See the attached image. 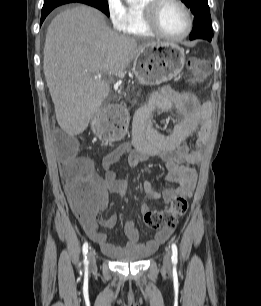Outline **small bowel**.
Masks as SVG:
<instances>
[{"instance_id": "c3829d8e", "label": "small bowel", "mask_w": 261, "mask_h": 306, "mask_svg": "<svg viewBox=\"0 0 261 306\" xmlns=\"http://www.w3.org/2000/svg\"><path fill=\"white\" fill-rule=\"evenodd\" d=\"M173 107L182 113L183 119L169 133L158 131L153 124L156 114L169 111ZM210 114L209 103H200L190 92H179L164 86L152 94L149 102L136 112L131 141L120 144L102 159L103 176L94 170L90 159L77 158L87 162L92 168L91 188L94 193L88 206L78 214V220L87 236L100 246L104 254L113 258L124 253L150 254L167 241L173 232L172 228H164L143 244L140 242L138 229L132 222H126L123 226L126 243L117 246L109 241L100 227L113 228L117 218L115 215L103 218L101 213L108 208L110 195L123 197L127 187L126 181L118 177L113 166L125 155L130 167H136L144 160H162L167 174L161 181L175 182L178 186L166 187L160 191L159 183L144 181L146 195L152 199H162L165 203L177 196H190L197 176L196 170L191 166L199 164L203 159ZM195 132L198 134L196 145L189 148L185 141ZM66 164L64 158L60 159L62 174ZM141 209L146 211L147 206L143 205Z\"/></svg>"}]
</instances>
